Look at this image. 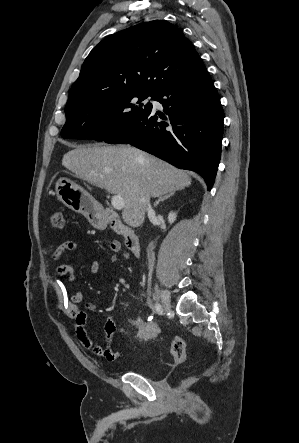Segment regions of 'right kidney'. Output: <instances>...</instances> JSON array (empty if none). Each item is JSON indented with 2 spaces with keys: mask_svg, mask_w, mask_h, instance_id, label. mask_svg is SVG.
<instances>
[{
  "mask_svg": "<svg viewBox=\"0 0 299 443\" xmlns=\"http://www.w3.org/2000/svg\"><path fill=\"white\" fill-rule=\"evenodd\" d=\"M176 220V213L170 212L168 215V222L172 224Z\"/></svg>",
  "mask_w": 299,
  "mask_h": 443,
  "instance_id": "right-kidney-1",
  "label": "right kidney"
}]
</instances>
